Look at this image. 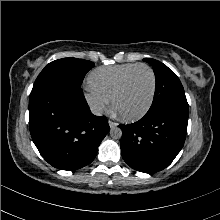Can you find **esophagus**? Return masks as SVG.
Here are the masks:
<instances>
[{
    "mask_svg": "<svg viewBox=\"0 0 220 220\" xmlns=\"http://www.w3.org/2000/svg\"><path fill=\"white\" fill-rule=\"evenodd\" d=\"M108 123H109L110 128H115L118 126V123L113 122V121H109Z\"/></svg>",
    "mask_w": 220,
    "mask_h": 220,
    "instance_id": "esophagus-1",
    "label": "esophagus"
}]
</instances>
